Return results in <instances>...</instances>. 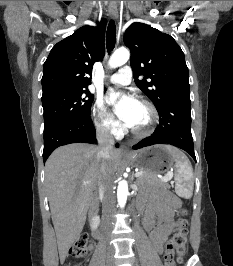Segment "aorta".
<instances>
[{"mask_svg":"<svg viewBox=\"0 0 233 266\" xmlns=\"http://www.w3.org/2000/svg\"><path fill=\"white\" fill-rule=\"evenodd\" d=\"M130 58V52L121 48L116 50L109 59L108 65L110 68H117L119 66L124 65ZM112 90V89H110ZM128 196V183L126 180H121L118 184L117 188V200L118 204L121 208H123L126 204Z\"/></svg>","mask_w":233,"mask_h":266,"instance_id":"1","label":"aorta"}]
</instances>
